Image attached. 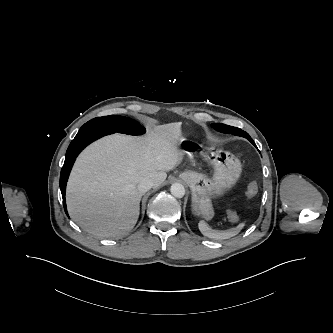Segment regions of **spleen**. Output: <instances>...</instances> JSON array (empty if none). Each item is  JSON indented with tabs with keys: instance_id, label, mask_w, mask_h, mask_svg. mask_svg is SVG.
Segmentation results:
<instances>
[{
	"instance_id": "3e777b00",
	"label": "spleen",
	"mask_w": 333,
	"mask_h": 333,
	"mask_svg": "<svg viewBox=\"0 0 333 333\" xmlns=\"http://www.w3.org/2000/svg\"><path fill=\"white\" fill-rule=\"evenodd\" d=\"M199 230L201 233L209 238L216 239V240H223L231 238L237 235L241 229L244 227V223H240L237 227L231 228L227 231H216L210 229L204 221H200L198 224Z\"/></svg>"
}]
</instances>
